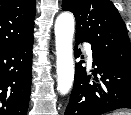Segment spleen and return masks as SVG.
Returning <instances> with one entry per match:
<instances>
[{
    "label": "spleen",
    "instance_id": "3e777b00",
    "mask_svg": "<svg viewBox=\"0 0 131 115\" xmlns=\"http://www.w3.org/2000/svg\"><path fill=\"white\" fill-rule=\"evenodd\" d=\"M113 115H131V113L130 112H116V113H114Z\"/></svg>",
    "mask_w": 131,
    "mask_h": 115
}]
</instances>
